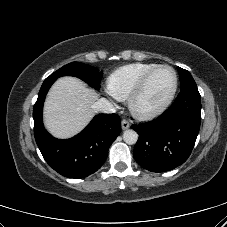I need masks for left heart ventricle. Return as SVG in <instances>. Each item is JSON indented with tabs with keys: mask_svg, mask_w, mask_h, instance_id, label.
Masks as SVG:
<instances>
[{
	"mask_svg": "<svg viewBox=\"0 0 227 227\" xmlns=\"http://www.w3.org/2000/svg\"><path fill=\"white\" fill-rule=\"evenodd\" d=\"M174 82L175 76L170 69L158 70L140 96L138 107L141 110H152L158 107L172 91Z\"/></svg>",
	"mask_w": 227,
	"mask_h": 227,
	"instance_id": "obj_1",
	"label": "left heart ventricle"
}]
</instances>
